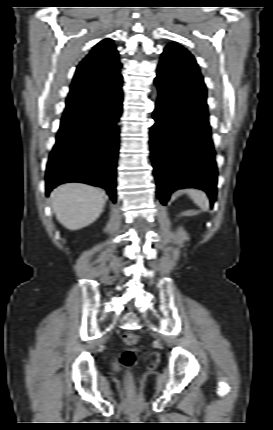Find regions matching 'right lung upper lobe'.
Returning a JSON list of instances; mask_svg holds the SVG:
<instances>
[{"mask_svg": "<svg viewBox=\"0 0 273 430\" xmlns=\"http://www.w3.org/2000/svg\"><path fill=\"white\" fill-rule=\"evenodd\" d=\"M118 52L109 38L96 44L90 53L77 66L71 88L66 100L64 115L74 112L86 105L88 92L102 85V80L121 79V64Z\"/></svg>", "mask_w": 273, "mask_h": 430, "instance_id": "1", "label": "right lung upper lobe"}]
</instances>
